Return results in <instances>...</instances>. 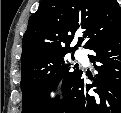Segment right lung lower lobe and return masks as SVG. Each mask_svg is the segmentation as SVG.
<instances>
[{"label":"right lung lower lobe","instance_id":"98d812e1","mask_svg":"<svg viewBox=\"0 0 121 113\" xmlns=\"http://www.w3.org/2000/svg\"><path fill=\"white\" fill-rule=\"evenodd\" d=\"M98 74L87 84L79 70L68 82L63 99L50 113H121V31L90 48ZM98 62V65H95ZM89 90L95 92L90 95Z\"/></svg>","mask_w":121,"mask_h":113}]
</instances>
